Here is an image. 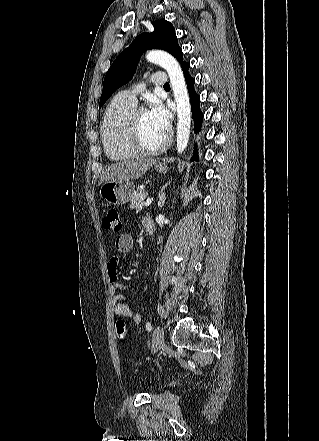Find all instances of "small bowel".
<instances>
[{"mask_svg": "<svg viewBox=\"0 0 319 441\" xmlns=\"http://www.w3.org/2000/svg\"><path fill=\"white\" fill-rule=\"evenodd\" d=\"M151 222L148 218L143 220V226ZM116 249L121 253H128L134 247L133 237L129 234H121L115 241ZM118 257L113 256L107 263V277L109 282V294L111 297V305L114 313L119 316L128 319L133 323H140L142 316L139 312H135L125 303L124 296L118 293L119 290H128L134 287V285L123 284L118 278Z\"/></svg>", "mask_w": 319, "mask_h": 441, "instance_id": "1", "label": "small bowel"}]
</instances>
